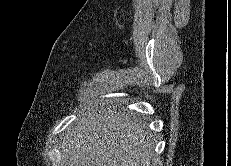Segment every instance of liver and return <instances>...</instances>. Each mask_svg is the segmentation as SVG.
<instances>
[{
	"label": "liver",
	"instance_id": "liver-1",
	"mask_svg": "<svg viewBox=\"0 0 231 166\" xmlns=\"http://www.w3.org/2000/svg\"><path fill=\"white\" fill-rule=\"evenodd\" d=\"M61 155V166H152L153 141L129 115L91 109L67 128Z\"/></svg>",
	"mask_w": 231,
	"mask_h": 166
}]
</instances>
